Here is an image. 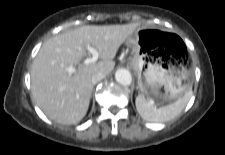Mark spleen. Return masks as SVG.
<instances>
[{
	"mask_svg": "<svg viewBox=\"0 0 225 155\" xmlns=\"http://www.w3.org/2000/svg\"><path fill=\"white\" fill-rule=\"evenodd\" d=\"M192 97V91L189 90L185 95L175 102L156 107L154 102L142 95L136 97L135 104L139 115L149 122H166L178 116L186 107L188 101Z\"/></svg>",
	"mask_w": 225,
	"mask_h": 155,
	"instance_id": "obj_1",
	"label": "spleen"
}]
</instances>
